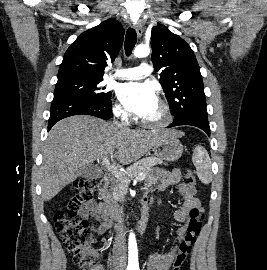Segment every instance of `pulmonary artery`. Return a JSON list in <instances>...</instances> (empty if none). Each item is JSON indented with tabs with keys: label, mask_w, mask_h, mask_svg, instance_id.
<instances>
[{
	"label": "pulmonary artery",
	"mask_w": 267,
	"mask_h": 270,
	"mask_svg": "<svg viewBox=\"0 0 267 270\" xmlns=\"http://www.w3.org/2000/svg\"><path fill=\"white\" fill-rule=\"evenodd\" d=\"M152 67L147 63H142L141 65L133 68H125L117 70L114 77L119 79L133 80L141 79L151 75Z\"/></svg>",
	"instance_id": "e3ab8cb5"
}]
</instances>
